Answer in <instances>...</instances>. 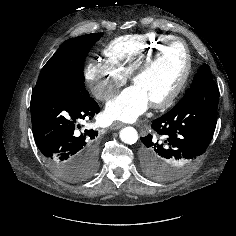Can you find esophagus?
Masks as SVG:
<instances>
[{
	"instance_id": "1",
	"label": "esophagus",
	"mask_w": 236,
	"mask_h": 236,
	"mask_svg": "<svg viewBox=\"0 0 236 236\" xmlns=\"http://www.w3.org/2000/svg\"><path fill=\"white\" fill-rule=\"evenodd\" d=\"M122 126H123V124L121 122H114V123L111 124L110 129L111 130H117Z\"/></svg>"
}]
</instances>
